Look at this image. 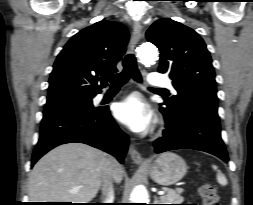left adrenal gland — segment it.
I'll return each instance as SVG.
<instances>
[{
	"instance_id": "obj_1",
	"label": "left adrenal gland",
	"mask_w": 253,
	"mask_h": 205,
	"mask_svg": "<svg viewBox=\"0 0 253 205\" xmlns=\"http://www.w3.org/2000/svg\"><path fill=\"white\" fill-rule=\"evenodd\" d=\"M160 201L158 200L157 196H154V204H159Z\"/></svg>"
}]
</instances>
